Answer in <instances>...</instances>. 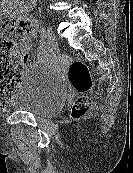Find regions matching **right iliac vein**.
Here are the masks:
<instances>
[{
    "label": "right iliac vein",
    "instance_id": "right-iliac-vein-1",
    "mask_svg": "<svg viewBox=\"0 0 133 173\" xmlns=\"http://www.w3.org/2000/svg\"><path fill=\"white\" fill-rule=\"evenodd\" d=\"M46 35H47V41L49 42L46 50L48 52H52L57 47V41H56L55 34L52 31V29L48 27L46 30Z\"/></svg>",
    "mask_w": 133,
    "mask_h": 173
}]
</instances>
